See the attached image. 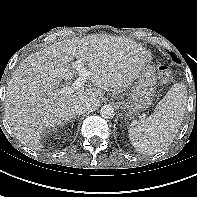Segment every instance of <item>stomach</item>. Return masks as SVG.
<instances>
[{
  "mask_svg": "<svg viewBox=\"0 0 197 197\" xmlns=\"http://www.w3.org/2000/svg\"><path fill=\"white\" fill-rule=\"evenodd\" d=\"M155 92V70L150 62H145L139 70L128 97L121 99L119 105L127 117L139 115L153 103Z\"/></svg>",
  "mask_w": 197,
  "mask_h": 197,
  "instance_id": "0dacf381",
  "label": "stomach"
}]
</instances>
